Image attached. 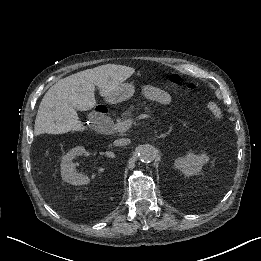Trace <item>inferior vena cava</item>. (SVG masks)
I'll return each mask as SVG.
<instances>
[{"mask_svg":"<svg viewBox=\"0 0 261 261\" xmlns=\"http://www.w3.org/2000/svg\"><path fill=\"white\" fill-rule=\"evenodd\" d=\"M116 143L119 145H125L130 143V139H126V138L117 139Z\"/></svg>","mask_w":261,"mask_h":261,"instance_id":"inferior-vena-cava-1","label":"inferior vena cava"}]
</instances>
